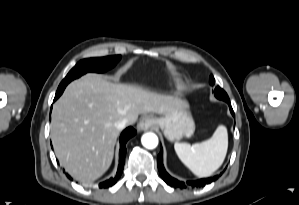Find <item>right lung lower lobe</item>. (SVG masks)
Returning <instances> with one entry per match:
<instances>
[{
  "label": "right lung lower lobe",
  "instance_id": "obj_1",
  "mask_svg": "<svg viewBox=\"0 0 299 205\" xmlns=\"http://www.w3.org/2000/svg\"><path fill=\"white\" fill-rule=\"evenodd\" d=\"M62 93H60V94L58 93L59 96ZM59 96H55L54 100H56ZM135 134H136V130H134L132 127H128L122 132V134L120 136L119 166H118L117 173L114 177H111L110 179L100 183L99 188H108V187L114 185L118 181V179L120 178V176L122 174L123 167H124L125 154H126V142L128 141V139L130 137H132Z\"/></svg>",
  "mask_w": 299,
  "mask_h": 205
}]
</instances>
